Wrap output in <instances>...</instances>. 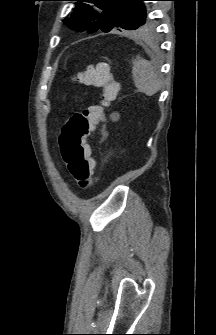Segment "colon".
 Segmentation results:
<instances>
[{
	"instance_id": "colon-1",
	"label": "colon",
	"mask_w": 216,
	"mask_h": 335,
	"mask_svg": "<svg viewBox=\"0 0 216 335\" xmlns=\"http://www.w3.org/2000/svg\"><path fill=\"white\" fill-rule=\"evenodd\" d=\"M78 78L84 84L101 88L102 101L100 104L75 112L63 125L58 143L61 157L69 173L81 188L88 189L96 183V177L95 161L87 138L97 123L103 119L105 109L117 98L121 82L113 77L106 63L87 66Z\"/></svg>"
}]
</instances>
